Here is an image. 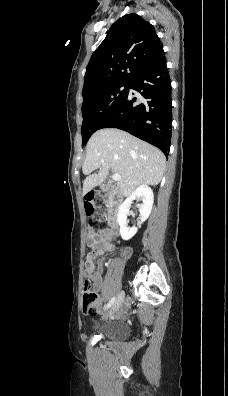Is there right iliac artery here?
<instances>
[{
  "label": "right iliac artery",
  "instance_id": "1",
  "mask_svg": "<svg viewBox=\"0 0 228 396\" xmlns=\"http://www.w3.org/2000/svg\"><path fill=\"white\" fill-rule=\"evenodd\" d=\"M114 302H115V297H113V298L109 301V303H108L107 306H106V309H108L109 307H111V306L114 304Z\"/></svg>",
  "mask_w": 228,
  "mask_h": 396
}]
</instances>
